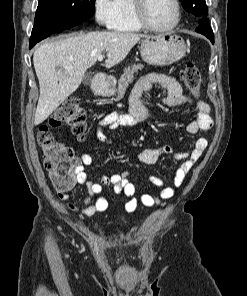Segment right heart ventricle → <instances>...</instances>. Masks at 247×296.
I'll list each match as a JSON object with an SVG mask.
<instances>
[{
  "mask_svg": "<svg viewBox=\"0 0 247 296\" xmlns=\"http://www.w3.org/2000/svg\"><path fill=\"white\" fill-rule=\"evenodd\" d=\"M117 19L112 29L118 32H138L141 27L137 24L133 9L132 0H116Z\"/></svg>",
  "mask_w": 247,
  "mask_h": 296,
  "instance_id": "right-heart-ventricle-1",
  "label": "right heart ventricle"
}]
</instances>
